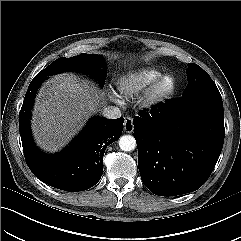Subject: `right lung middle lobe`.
<instances>
[{"label":"right lung middle lobe","instance_id":"1","mask_svg":"<svg viewBox=\"0 0 241 241\" xmlns=\"http://www.w3.org/2000/svg\"><path fill=\"white\" fill-rule=\"evenodd\" d=\"M103 65L102 58L97 54L82 53L71 58L62 57L40 71L34 79H45L50 75L58 74L66 70L84 71L97 77L99 83L103 84L107 75L105 69H100L101 67L104 68Z\"/></svg>","mask_w":241,"mask_h":241}]
</instances>
